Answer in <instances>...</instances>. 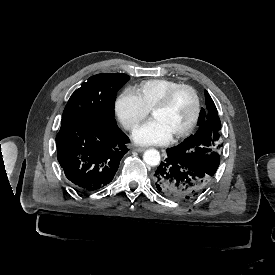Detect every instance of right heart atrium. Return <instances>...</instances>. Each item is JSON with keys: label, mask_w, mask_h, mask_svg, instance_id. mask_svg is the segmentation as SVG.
I'll list each match as a JSON object with an SVG mask.
<instances>
[{"label": "right heart atrium", "mask_w": 275, "mask_h": 275, "mask_svg": "<svg viewBox=\"0 0 275 275\" xmlns=\"http://www.w3.org/2000/svg\"><path fill=\"white\" fill-rule=\"evenodd\" d=\"M115 110L124 128L133 131L142 123L149 114L134 91L125 90L115 103Z\"/></svg>", "instance_id": "right-heart-atrium-1"}]
</instances>
